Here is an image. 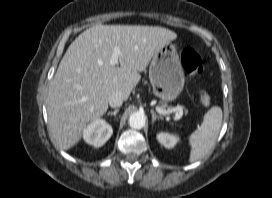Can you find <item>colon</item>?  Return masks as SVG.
<instances>
[{
    "instance_id": "obj_1",
    "label": "colon",
    "mask_w": 272,
    "mask_h": 198,
    "mask_svg": "<svg viewBox=\"0 0 272 198\" xmlns=\"http://www.w3.org/2000/svg\"><path fill=\"white\" fill-rule=\"evenodd\" d=\"M181 61L183 67L191 76H199L203 73L204 67L200 56L192 48H184L181 51ZM198 99L202 104H208L211 100L210 90L202 88L198 91Z\"/></svg>"
}]
</instances>
